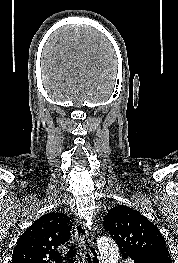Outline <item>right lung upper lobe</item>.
<instances>
[{
	"mask_svg": "<svg viewBox=\"0 0 178 263\" xmlns=\"http://www.w3.org/2000/svg\"><path fill=\"white\" fill-rule=\"evenodd\" d=\"M71 230L65 214L41 216L20 236L11 263H62L58 247L68 241Z\"/></svg>",
	"mask_w": 178,
	"mask_h": 263,
	"instance_id": "obj_1",
	"label": "right lung upper lobe"
}]
</instances>
